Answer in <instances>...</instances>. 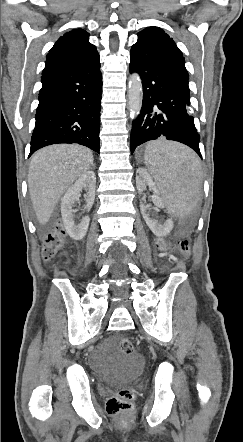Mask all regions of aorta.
<instances>
[{
  "label": "aorta",
  "mask_w": 243,
  "mask_h": 442,
  "mask_svg": "<svg viewBox=\"0 0 243 442\" xmlns=\"http://www.w3.org/2000/svg\"><path fill=\"white\" fill-rule=\"evenodd\" d=\"M142 100V81L138 73H133L131 74L128 83V108L132 119H136L139 115L142 107Z\"/></svg>",
  "instance_id": "aorta-1"
}]
</instances>
